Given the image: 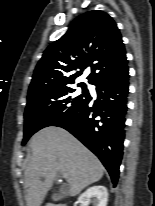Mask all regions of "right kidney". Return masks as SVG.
<instances>
[{
  "label": "right kidney",
  "mask_w": 155,
  "mask_h": 206,
  "mask_svg": "<svg viewBox=\"0 0 155 206\" xmlns=\"http://www.w3.org/2000/svg\"><path fill=\"white\" fill-rule=\"evenodd\" d=\"M108 201V192L106 187L96 185L88 188L78 198V202L81 206H88L89 203H93L94 206H106Z\"/></svg>",
  "instance_id": "obj_1"
}]
</instances>
